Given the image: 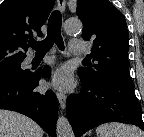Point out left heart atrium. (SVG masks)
Segmentation results:
<instances>
[{"mask_svg":"<svg viewBox=\"0 0 144 137\" xmlns=\"http://www.w3.org/2000/svg\"><path fill=\"white\" fill-rule=\"evenodd\" d=\"M72 75L66 67L59 68L52 77V85L56 88L65 90L70 87Z\"/></svg>","mask_w":144,"mask_h":137,"instance_id":"1","label":"left heart atrium"}]
</instances>
